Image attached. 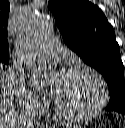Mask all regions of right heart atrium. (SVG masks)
Segmentation results:
<instances>
[{
    "label": "right heart atrium",
    "mask_w": 125,
    "mask_h": 128,
    "mask_svg": "<svg viewBox=\"0 0 125 128\" xmlns=\"http://www.w3.org/2000/svg\"><path fill=\"white\" fill-rule=\"evenodd\" d=\"M12 87L17 104L22 110L36 114L46 106V102L39 95L25 86L20 76L13 77Z\"/></svg>",
    "instance_id": "d8ad5b80"
}]
</instances>
